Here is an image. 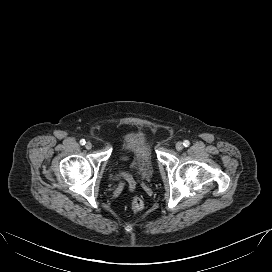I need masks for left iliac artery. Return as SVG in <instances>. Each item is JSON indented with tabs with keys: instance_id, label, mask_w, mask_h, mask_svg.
Instances as JSON below:
<instances>
[{
	"instance_id": "obj_1",
	"label": "left iliac artery",
	"mask_w": 272,
	"mask_h": 272,
	"mask_svg": "<svg viewBox=\"0 0 272 272\" xmlns=\"http://www.w3.org/2000/svg\"><path fill=\"white\" fill-rule=\"evenodd\" d=\"M183 145H184L185 147H188V146L190 145V142H189L188 140H185V141L183 142Z\"/></svg>"
}]
</instances>
